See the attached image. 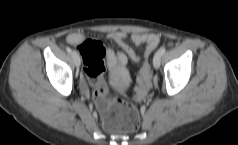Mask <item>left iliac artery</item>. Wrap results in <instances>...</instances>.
<instances>
[{
    "instance_id": "1",
    "label": "left iliac artery",
    "mask_w": 238,
    "mask_h": 145,
    "mask_svg": "<svg viewBox=\"0 0 238 145\" xmlns=\"http://www.w3.org/2000/svg\"><path fill=\"white\" fill-rule=\"evenodd\" d=\"M158 52L161 54V56L164 55V53L166 52V47L160 48Z\"/></svg>"
}]
</instances>
